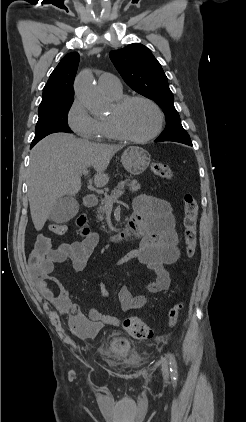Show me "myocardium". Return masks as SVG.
<instances>
[{
  "label": "myocardium",
  "instance_id": "myocardium-1",
  "mask_svg": "<svg viewBox=\"0 0 246 422\" xmlns=\"http://www.w3.org/2000/svg\"><path fill=\"white\" fill-rule=\"evenodd\" d=\"M134 101H143L147 104H149L150 106L153 107V109L156 111L157 113V117H158V122H157V126L156 128L153 130V132H151L150 134L144 136V137H136L132 134H130L122 125L121 121L119 120L118 117H113L110 118V122L112 124V126L114 127V129L116 130V132L118 133V135L129 142L132 143H145L148 142L152 139H154L155 137H157L164 126V121H165V117H164V113L162 111V109L160 108V106L152 99L143 96V95H129V96H123L119 99H117L115 101V108L118 112L122 111L125 107H127L130 103L134 102Z\"/></svg>",
  "mask_w": 246,
  "mask_h": 422
}]
</instances>
